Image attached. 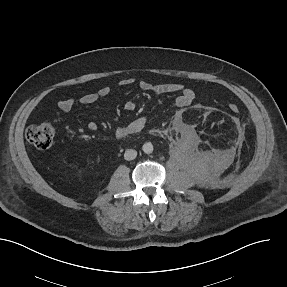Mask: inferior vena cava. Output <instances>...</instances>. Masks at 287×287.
<instances>
[{
  "label": "inferior vena cava",
  "instance_id": "obj_1",
  "mask_svg": "<svg viewBox=\"0 0 287 287\" xmlns=\"http://www.w3.org/2000/svg\"><path fill=\"white\" fill-rule=\"evenodd\" d=\"M136 156H137V151L134 149H127L124 153V158L125 160H128V161L135 159Z\"/></svg>",
  "mask_w": 287,
  "mask_h": 287
}]
</instances>
